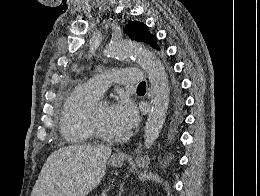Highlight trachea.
I'll return each instance as SVG.
<instances>
[{"label": "trachea", "instance_id": "obj_1", "mask_svg": "<svg viewBox=\"0 0 260 196\" xmlns=\"http://www.w3.org/2000/svg\"><path fill=\"white\" fill-rule=\"evenodd\" d=\"M137 88H138V89L146 88V83H145V81H142L141 83H139V85H138Z\"/></svg>", "mask_w": 260, "mask_h": 196}]
</instances>
